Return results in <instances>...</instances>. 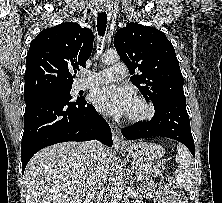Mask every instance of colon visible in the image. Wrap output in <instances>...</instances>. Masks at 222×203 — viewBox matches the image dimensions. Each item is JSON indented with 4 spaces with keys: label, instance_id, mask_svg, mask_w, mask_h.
Returning <instances> with one entry per match:
<instances>
[{
    "label": "colon",
    "instance_id": "1",
    "mask_svg": "<svg viewBox=\"0 0 222 203\" xmlns=\"http://www.w3.org/2000/svg\"><path fill=\"white\" fill-rule=\"evenodd\" d=\"M167 181H168L169 186H171L172 188L177 187V182L173 176L169 175L167 178Z\"/></svg>",
    "mask_w": 222,
    "mask_h": 203
}]
</instances>
